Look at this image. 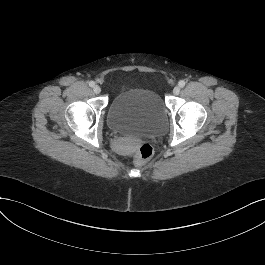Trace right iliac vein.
Returning a JSON list of instances; mask_svg holds the SVG:
<instances>
[{
    "mask_svg": "<svg viewBox=\"0 0 265 265\" xmlns=\"http://www.w3.org/2000/svg\"><path fill=\"white\" fill-rule=\"evenodd\" d=\"M93 91H94L96 94H99V93L101 92V88H100V86L95 85V86L93 87Z\"/></svg>",
    "mask_w": 265,
    "mask_h": 265,
    "instance_id": "right-iliac-vein-1",
    "label": "right iliac vein"
}]
</instances>
